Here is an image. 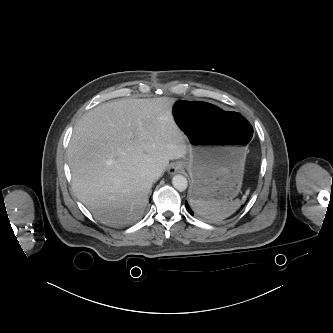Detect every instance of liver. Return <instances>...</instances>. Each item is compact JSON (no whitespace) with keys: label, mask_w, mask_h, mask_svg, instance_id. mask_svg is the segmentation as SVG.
<instances>
[{"label":"liver","mask_w":333,"mask_h":333,"mask_svg":"<svg viewBox=\"0 0 333 333\" xmlns=\"http://www.w3.org/2000/svg\"><path fill=\"white\" fill-rule=\"evenodd\" d=\"M174 98L122 99L85 113L73 129L68 163L80 201L104 224L141 218L154 180L169 160L184 158L187 141L177 126Z\"/></svg>","instance_id":"6515ba94"}]
</instances>
